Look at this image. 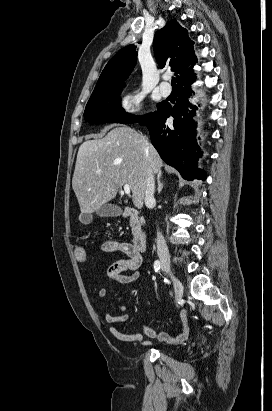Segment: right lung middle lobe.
Returning <instances> with one entry per match:
<instances>
[{
	"mask_svg": "<svg viewBox=\"0 0 272 411\" xmlns=\"http://www.w3.org/2000/svg\"><path fill=\"white\" fill-rule=\"evenodd\" d=\"M124 83L94 89L84 112L85 120L89 123H137L149 118L152 114L144 116L129 115L121 107L119 94ZM159 106V104H158Z\"/></svg>",
	"mask_w": 272,
	"mask_h": 411,
	"instance_id": "dd1d6c3e",
	"label": "right lung middle lobe"
}]
</instances>
